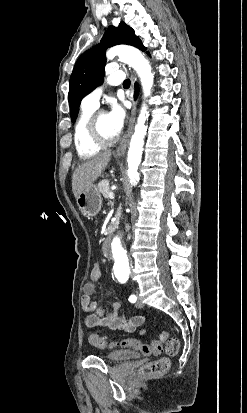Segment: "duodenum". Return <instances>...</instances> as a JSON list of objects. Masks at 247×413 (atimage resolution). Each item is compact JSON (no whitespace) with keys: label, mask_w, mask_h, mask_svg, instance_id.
<instances>
[{"label":"duodenum","mask_w":247,"mask_h":413,"mask_svg":"<svg viewBox=\"0 0 247 413\" xmlns=\"http://www.w3.org/2000/svg\"><path fill=\"white\" fill-rule=\"evenodd\" d=\"M115 226H116V223H114V222L110 223V224L107 226V228H106V232H107L108 234L113 233V232H114V229H115Z\"/></svg>","instance_id":"1"}]
</instances>
